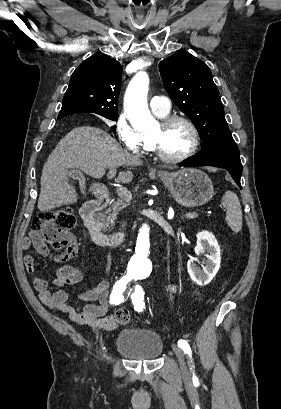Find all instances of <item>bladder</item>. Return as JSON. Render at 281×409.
Listing matches in <instances>:
<instances>
[{"label":"bladder","mask_w":281,"mask_h":409,"mask_svg":"<svg viewBox=\"0 0 281 409\" xmlns=\"http://www.w3.org/2000/svg\"><path fill=\"white\" fill-rule=\"evenodd\" d=\"M114 351L135 362L156 361L164 352V339L153 329L135 327L119 330L113 340Z\"/></svg>","instance_id":"31cf9c89"}]
</instances>
